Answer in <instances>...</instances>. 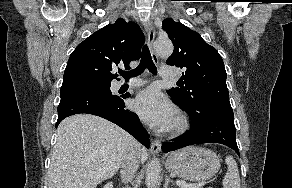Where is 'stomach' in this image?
Wrapping results in <instances>:
<instances>
[{
	"instance_id": "1",
	"label": "stomach",
	"mask_w": 292,
	"mask_h": 188,
	"mask_svg": "<svg viewBox=\"0 0 292 188\" xmlns=\"http://www.w3.org/2000/svg\"><path fill=\"white\" fill-rule=\"evenodd\" d=\"M166 169L184 180L205 181L220 168V159L213 151L189 146L168 155Z\"/></svg>"
}]
</instances>
